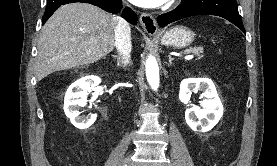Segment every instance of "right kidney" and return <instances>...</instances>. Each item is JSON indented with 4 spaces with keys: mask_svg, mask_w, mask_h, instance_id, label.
<instances>
[{
    "mask_svg": "<svg viewBox=\"0 0 277 166\" xmlns=\"http://www.w3.org/2000/svg\"><path fill=\"white\" fill-rule=\"evenodd\" d=\"M100 82L99 77L86 76L68 88L64 98V112L75 127L86 129L96 120V114L87 117L80 116L78 107L85 106L87 92L92 91Z\"/></svg>",
    "mask_w": 277,
    "mask_h": 166,
    "instance_id": "1",
    "label": "right kidney"
}]
</instances>
